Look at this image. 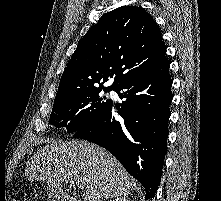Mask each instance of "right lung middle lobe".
<instances>
[{"instance_id":"right-lung-middle-lobe-1","label":"right lung middle lobe","mask_w":221,"mask_h":201,"mask_svg":"<svg viewBox=\"0 0 221 201\" xmlns=\"http://www.w3.org/2000/svg\"><path fill=\"white\" fill-rule=\"evenodd\" d=\"M112 89L94 88L56 98L54 101L49 124L64 127L73 133L93 122L112 104L111 100L101 95V91Z\"/></svg>"}]
</instances>
